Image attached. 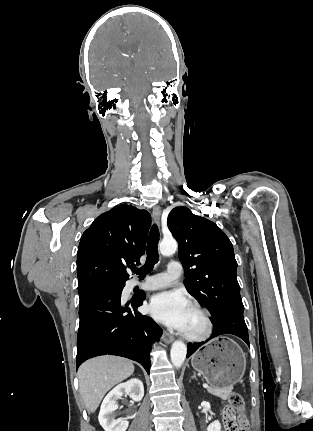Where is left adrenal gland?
<instances>
[{"instance_id":"left-adrenal-gland-1","label":"left adrenal gland","mask_w":313,"mask_h":431,"mask_svg":"<svg viewBox=\"0 0 313 431\" xmlns=\"http://www.w3.org/2000/svg\"><path fill=\"white\" fill-rule=\"evenodd\" d=\"M191 379H197L195 372L193 373V376H191Z\"/></svg>"}]
</instances>
